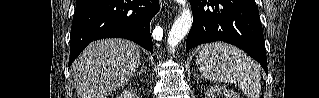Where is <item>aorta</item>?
<instances>
[{
  "label": "aorta",
  "mask_w": 319,
  "mask_h": 98,
  "mask_svg": "<svg viewBox=\"0 0 319 98\" xmlns=\"http://www.w3.org/2000/svg\"><path fill=\"white\" fill-rule=\"evenodd\" d=\"M182 6L180 16L175 20L169 35L167 44L170 50H173L188 34L192 25V13L186 0H176Z\"/></svg>",
  "instance_id": "1"
}]
</instances>
